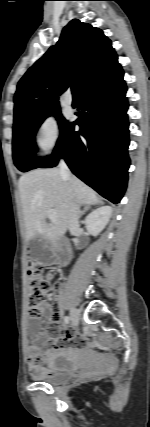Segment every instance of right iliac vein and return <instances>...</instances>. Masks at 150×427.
Wrapping results in <instances>:
<instances>
[{"instance_id": "obj_1", "label": "right iliac vein", "mask_w": 150, "mask_h": 427, "mask_svg": "<svg viewBox=\"0 0 150 427\" xmlns=\"http://www.w3.org/2000/svg\"><path fill=\"white\" fill-rule=\"evenodd\" d=\"M70 319H71V323L72 325L76 326L79 323V312L77 309L72 308L70 311Z\"/></svg>"}]
</instances>
